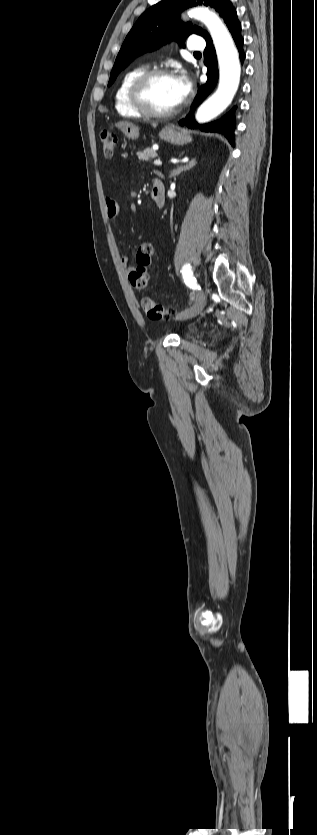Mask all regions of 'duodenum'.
Here are the masks:
<instances>
[{
  "label": "duodenum",
  "mask_w": 317,
  "mask_h": 835,
  "mask_svg": "<svg viewBox=\"0 0 317 835\" xmlns=\"http://www.w3.org/2000/svg\"><path fill=\"white\" fill-rule=\"evenodd\" d=\"M151 197L157 207L161 208L165 202V190L161 181L154 182L151 189Z\"/></svg>",
  "instance_id": "duodenum-1"
}]
</instances>
